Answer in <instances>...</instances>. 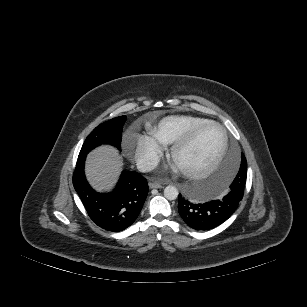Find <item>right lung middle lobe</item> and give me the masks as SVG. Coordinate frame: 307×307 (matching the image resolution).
I'll use <instances>...</instances> for the list:
<instances>
[{"instance_id": "obj_1", "label": "right lung middle lobe", "mask_w": 307, "mask_h": 307, "mask_svg": "<svg viewBox=\"0 0 307 307\" xmlns=\"http://www.w3.org/2000/svg\"><path fill=\"white\" fill-rule=\"evenodd\" d=\"M126 116L113 118L98 125L86 138L79 157L86 156L92 149L101 144H111L121 150L122 129Z\"/></svg>"}]
</instances>
